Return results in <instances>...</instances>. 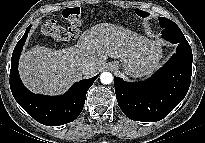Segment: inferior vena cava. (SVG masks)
<instances>
[{
    "label": "inferior vena cava",
    "instance_id": "602c4592",
    "mask_svg": "<svg viewBox=\"0 0 205 143\" xmlns=\"http://www.w3.org/2000/svg\"><path fill=\"white\" fill-rule=\"evenodd\" d=\"M81 72L83 75L91 76L95 73V65L90 62H85L81 66Z\"/></svg>",
    "mask_w": 205,
    "mask_h": 143
}]
</instances>
